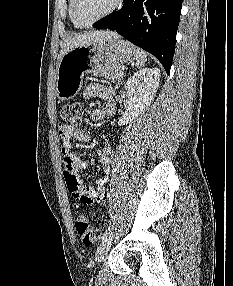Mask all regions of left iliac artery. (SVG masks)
<instances>
[{
  "label": "left iliac artery",
  "instance_id": "obj_1",
  "mask_svg": "<svg viewBox=\"0 0 233 286\" xmlns=\"http://www.w3.org/2000/svg\"><path fill=\"white\" fill-rule=\"evenodd\" d=\"M111 230H112V227L108 226L102 235V240H104L110 234Z\"/></svg>",
  "mask_w": 233,
  "mask_h": 286
}]
</instances>
